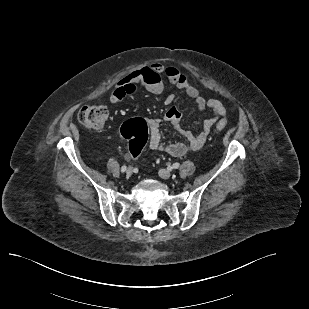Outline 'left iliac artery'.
Here are the masks:
<instances>
[{
  "label": "left iliac artery",
  "instance_id": "left-iliac-artery-1",
  "mask_svg": "<svg viewBox=\"0 0 309 309\" xmlns=\"http://www.w3.org/2000/svg\"><path fill=\"white\" fill-rule=\"evenodd\" d=\"M180 167V163H174L171 168L178 169Z\"/></svg>",
  "mask_w": 309,
  "mask_h": 309
}]
</instances>
